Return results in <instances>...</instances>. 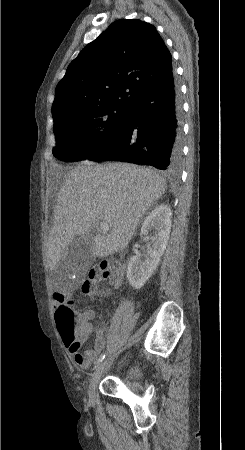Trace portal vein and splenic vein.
I'll return each mask as SVG.
<instances>
[{
	"label": "portal vein and splenic vein",
	"instance_id": "1",
	"mask_svg": "<svg viewBox=\"0 0 245 450\" xmlns=\"http://www.w3.org/2000/svg\"><path fill=\"white\" fill-rule=\"evenodd\" d=\"M99 230L103 233H106L110 230L109 225L105 222H101L99 225Z\"/></svg>",
	"mask_w": 245,
	"mask_h": 450
}]
</instances>
